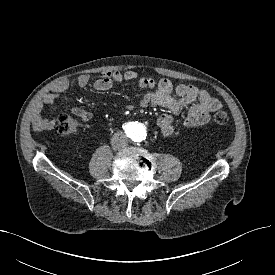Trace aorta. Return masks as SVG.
<instances>
[{"label": "aorta", "mask_w": 275, "mask_h": 275, "mask_svg": "<svg viewBox=\"0 0 275 275\" xmlns=\"http://www.w3.org/2000/svg\"><path fill=\"white\" fill-rule=\"evenodd\" d=\"M126 130L129 133L130 137L135 141H141L146 134L145 125L139 122L128 124Z\"/></svg>", "instance_id": "1"}]
</instances>
